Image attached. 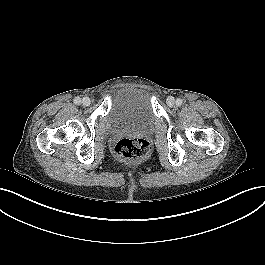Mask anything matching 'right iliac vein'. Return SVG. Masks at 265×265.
Listing matches in <instances>:
<instances>
[{
    "mask_svg": "<svg viewBox=\"0 0 265 265\" xmlns=\"http://www.w3.org/2000/svg\"><path fill=\"white\" fill-rule=\"evenodd\" d=\"M82 104H83L84 106H89V105L91 104V99L88 98V97H84V98L82 99Z\"/></svg>",
    "mask_w": 265,
    "mask_h": 265,
    "instance_id": "63e3f726",
    "label": "right iliac vein"
}]
</instances>
